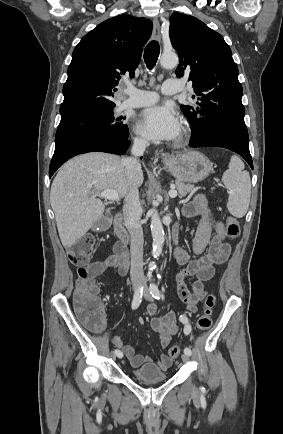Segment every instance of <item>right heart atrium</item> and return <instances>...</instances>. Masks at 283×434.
I'll return each instance as SVG.
<instances>
[{"label":"right heart atrium","mask_w":283,"mask_h":434,"mask_svg":"<svg viewBox=\"0 0 283 434\" xmlns=\"http://www.w3.org/2000/svg\"><path fill=\"white\" fill-rule=\"evenodd\" d=\"M134 142L137 146H145L146 141L141 137H135Z\"/></svg>","instance_id":"obj_1"}]
</instances>
